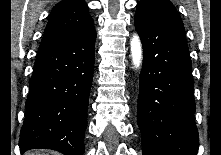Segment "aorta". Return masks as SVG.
Masks as SVG:
<instances>
[{
	"label": "aorta",
	"mask_w": 221,
	"mask_h": 155,
	"mask_svg": "<svg viewBox=\"0 0 221 155\" xmlns=\"http://www.w3.org/2000/svg\"><path fill=\"white\" fill-rule=\"evenodd\" d=\"M132 62L135 68H139L142 63V45L138 35H134L130 43Z\"/></svg>",
	"instance_id": "762f6f07"
}]
</instances>
